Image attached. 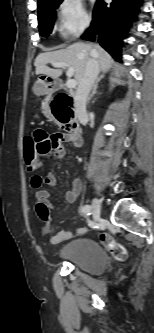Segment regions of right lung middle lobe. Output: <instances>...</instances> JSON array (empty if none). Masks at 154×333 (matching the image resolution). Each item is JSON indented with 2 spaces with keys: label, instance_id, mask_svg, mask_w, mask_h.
<instances>
[{
  "label": "right lung middle lobe",
  "instance_id": "obj_1",
  "mask_svg": "<svg viewBox=\"0 0 154 333\" xmlns=\"http://www.w3.org/2000/svg\"><path fill=\"white\" fill-rule=\"evenodd\" d=\"M63 0H41L38 1L39 31L42 36H47L52 32L55 9Z\"/></svg>",
  "mask_w": 154,
  "mask_h": 333
}]
</instances>
